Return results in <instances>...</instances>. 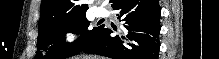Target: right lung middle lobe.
Wrapping results in <instances>:
<instances>
[{"instance_id":"obj_1","label":"right lung middle lobe","mask_w":219,"mask_h":59,"mask_svg":"<svg viewBox=\"0 0 219 59\" xmlns=\"http://www.w3.org/2000/svg\"><path fill=\"white\" fill-rule=\"evenodd\" d=\"M85 14L51 21L38 28L37 52L34 59H65L79 54L100 34L104 26L89 28ZM82 34L75 42L66 43V33Z\"/></svg>"}]
</instances>
